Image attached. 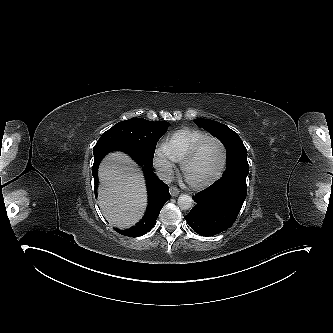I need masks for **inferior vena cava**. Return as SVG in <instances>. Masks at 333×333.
Segmentation results:
<instances>
[{
    "instance_id": "1",
    "label": "inferior vena cava",
    "mask_w": 333,
    "mask_h": 333,
    "mask_svg": "<svg viewBox=\"0 0 333 333\" xmlns=\"http://www.w3.org/2000/svg\"><path fill=\"white\" fill-rule=\"evenodd\" d=\"M157 176L166 184H170L173 180V170L169 164L160 167L157 170Z\"/></svg>"
}]
</instances>
